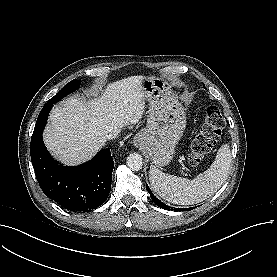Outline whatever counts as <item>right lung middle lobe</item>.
Instances as JSON below:
<instances>
[{
    "label": "right lung middle lobe",
    "mask_w": 277,
    "mask_h": 277,
    "mask_svg": "<svg viewBox=\"0 0 277 277\" xmlns=\"http://www.w3.org/2000/svg\"><path fill=\"white\" fill-rule=\"evenodd\" d=\"M80 86V81L72 80L66 84L54 97H52L46 104H54L67 96L69 93L75 91Z\"/></svg>",
    "instance_id": "1"
}]
</instances>
